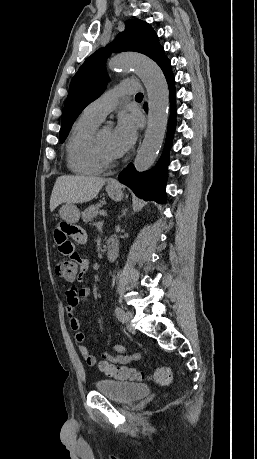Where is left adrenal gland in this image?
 <instances>
[{
    "mask_svg": "<svg viewBox=\"0 0 257 459\" xmlns=\"http://www.w3.org/2000/svg\"><path fill=\"white\" fill-rule=\"evenodd\" d=\"M127 209L123 210L122 216L126 215Z\"/></svg>",
    "mask_w": 257,
    "mask_h": 459,
    "instance_id": "a2214340",
    "label": "left adrenal gland"
}]
</instances>
